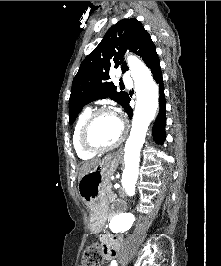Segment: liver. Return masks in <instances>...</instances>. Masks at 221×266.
<instances>
[{
    "instance_id": "obj_1",
    "label": "liver",
    "mask_w": 221,
    "mask_h": 266,
    "mask_svg": "<svg viewBox=\"0 0 221 266\" xmlns=\"http://www.w3.org/2000/svg\"><path fill=\"white\" fill-rule=\"evenodd\" d=\"M101 162L100 159H93L91 161L85 162L81 169H80V173H79V180L81 179V177L87 172L89 171L91 168L95 167L96 165H98Z\"/></svg>"
}]
</instances>
